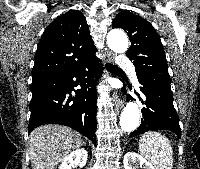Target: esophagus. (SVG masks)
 Returning <instances> with one entry per match:
<instances>
[{
    "label": "esophagus",
    "mask_w": 200,
    "mask_h": 169,
    "mask_svg": "<svg viewBox=\"0 0 200 169\" xmlns=\"http://www.w3.org/2000/svg\"><path fill=\"white\" fill-rule=\"evenodd\" d=\"M113 59H114L113 54L109 53L108 57H107V61L112 62ZM113 100H114L116 109H121L124 106V101L122 100V98L118 94V92H116V91L113 93Z\"/></svg>",
    "instance_id": "1"
}]
</instances>
